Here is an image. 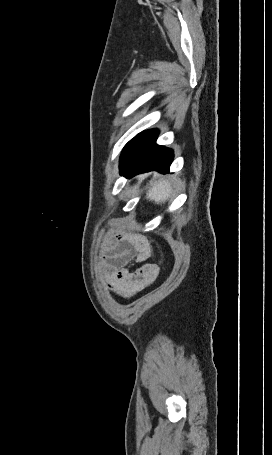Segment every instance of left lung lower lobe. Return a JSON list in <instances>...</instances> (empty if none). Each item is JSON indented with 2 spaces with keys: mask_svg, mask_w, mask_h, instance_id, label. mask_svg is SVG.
<instances>
[{
  "mask_svg": "<svg viewBox=\"0 0 272 455\" xmlns=\"http://www.w3.org/2000/svg\"><path fill=\"white\" fill-rule=\"evenodd\" d=\"M159 131L139 133L124 147L120 156V174L128 178L156 170L166 173L173 161V151L156 144Z\"/></svg>",
  "mask_w": 272,
  "mask_h": 455,
  "instance_id": "obj_1",
  "label": "left lung lower lobe"
}]
</instances>
